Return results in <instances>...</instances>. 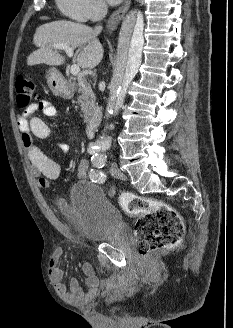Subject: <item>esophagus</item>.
<instances>
[{
    "mask_svg": "<svg viewBox=\"0 0 233 328\" xmlns=\"http://www.w3.org/2000/svg\"><path fill=\"white\" fill-rule=\"evenodd\" d=\"M130 4H131V0H125L123 5L119 7L116 11H114L110 16L107 22V30L110 35L117 29L119 23L121 22L125 13L129 9Z\"/></svg>",
    "mask_w": 233,
    "mask_h": 328,
    "instance_id": "34e87169",
    "label": "esophagus"
}]
</instances>
